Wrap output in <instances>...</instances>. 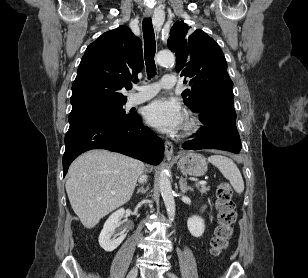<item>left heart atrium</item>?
Wrapping results in <instances>:
<instances>
[{
    "label": "left heart atrium",
    "mask_w": 308,
    "mask_h": 278,
    "mask_svg": "<svg viewBox=\"0 0 308 278\" xmlns=\"http://www.w3.org/2000/svg\"><path fill=\"white\" fill-rule=\"evenodd\" d=\"M146 122L163 132H174L184 122L182 106L173 99L160 98L152 101L144 111Z\"/></svg>",
    "instance_id": "left-heart-atrium-1"
}]
</instances>
